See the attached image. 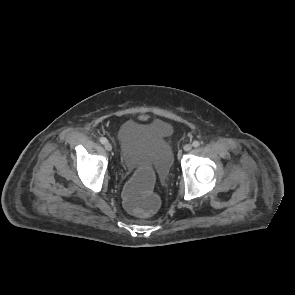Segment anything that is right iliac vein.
Returning a JSON list of instances; mask_svg holds the SVG:
<instances>
[{"instance_id": "right-iliac-vein-1", "label": "right iliac vein", "mask_w": 295, "mask_h": 295, "mask_svg": "<svg viewBox=\"0 0 295 295\" xmlns=\"http://www.w3.org/2000/svg\"><path fill=\"white\" fill-rule=\"evenodd\" d=\"M105 149H106L107 151H111V150H112V145H111V143H109V142L105 143Z\"/></svg>"}]
</instances>
